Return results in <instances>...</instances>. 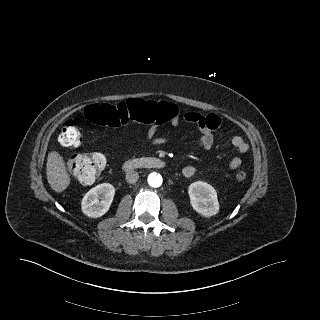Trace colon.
Masks as SVG:
<instances>
[{
  "mask_svg": "<svg viewBox=\"0 0 320 320\" xmlns=\"http://www.w3.org/2000/svg\"><path fill=\"white\" fill-rule=\"evenodd\" d=\"M175 107L169 103H155L142 99H130L114 105L97 103L89 105L85 110V119L94 125L119 127L129 120L143 124H161L169 121L175 115ZM81 133L78 124L69 120L65 123L59 135L62 146L73 148L81 143ZM107 159L102 153L75 154L68 160V169L82 183L94 182L105 168ZM246 172L239 171L236 178L246 179Z\"/></svg>",
  "mask_w": 320,
  "mask_h": 320,
  "instance_id": "5ec220e1",
  "label": "colon"
}]
</instances>
